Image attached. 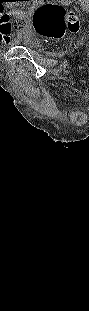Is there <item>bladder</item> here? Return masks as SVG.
Here are the masks:
<instances>
[{"label": "bladder", "instance_id": "1", "mask_svg": "<svg viewBox=\"0 0 89 311\" xmlns=\"http://www.w3.org/2000/svg\"><path fill=\"white\" fill-rule=\"evenodd\" d=\"M18 45L30 48V49H38L39 44L35 41V39H26L22 42L17 43Z\"/></svg>", "mask_w": 89, "mask_h": 311}]
</instances>
